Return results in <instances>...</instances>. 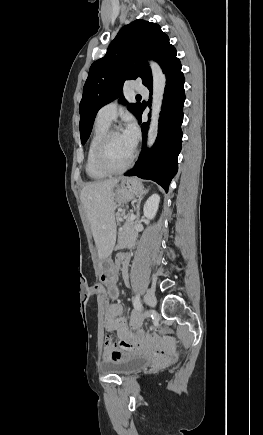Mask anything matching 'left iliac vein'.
I'll use <instances>...</instances> for the list:
<instances>
[{
  "label": "left iliac vein",
  "instance_id": "left-iliac-vein-1",
  "mask_svg": "<svg viewBox=\"0 0 263 435\" xmlns=\"http://www.w3.org/2000/svg\"><path fill=\"white\" fill-rule=\"evenodd\" d=\"M144 301L150 307H154L156 305V297L155 294L151 291H148L144 296Z\"/></svg>",
  "mask_w": 263,
  "mask_h": 435
}]
</instances>
